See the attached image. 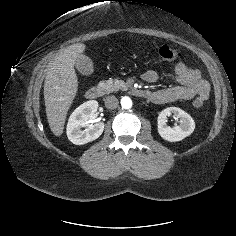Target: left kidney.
Masks as SVG:
<instances>
[{
    "label": "left kidney",
    "instance_id": "obj_1",
    "mask_svg": "<svg viewBox=\"0 0 236 236\" xmlns=\"http://www.w3.org/2000/svg\"><path fill=\"white\" fill-rule=\"evenodd\" d=\"M171 114L180 119V125L170 127L166 124L167 116ZM194 129L195 122L193 118L180 108L168 107L160 112L158 116V133L163 139L169 142L183 140L192 134Z\"/></svg>",
    "mask_w": 236,
    "mask_h": 236
}]
</instances>
